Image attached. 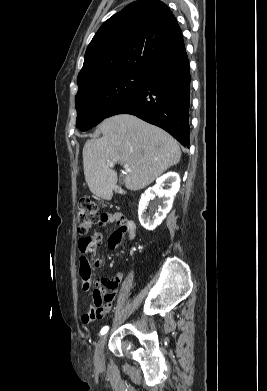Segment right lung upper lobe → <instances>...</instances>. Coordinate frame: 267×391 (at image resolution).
<instances>
[{"label": "right lung upper lobe", "mask_w": 267, "mask_h": 391, "mask_svg": "<svg viewBox=\"0 0 267 391\" xmlns=\"http://www.w3.org/2000/svg\"><path fill=\"white\" fill-rule=\"evenodd\" d=\"M185 50L182 32L169 7L159 0L126 6L99 28L85 53L79 89L108 73H146L153 65Z\"/></svg>", "instance_id": "obj_1"}]
</instances>
